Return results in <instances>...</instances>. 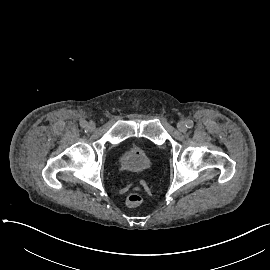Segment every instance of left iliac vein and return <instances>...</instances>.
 Wrapping results in <instances>:
<instances>
[{
    "label": "left iliac vein",
    "instance_id": "obj_1",
    "mask_svg": "<svg viewBox=\"0 0 270 270\" xmlns=\"http://www.w3.org/2000/svg\"><path fill=\"white\" fill-rule=\"evenodd\" d=\"M177 128L181 132H185L187 130L186 123L184 121H179L177 124Z\"/></svg>",
    "mask_w": 270,
    "mask_h": 270
}]
</instances>
